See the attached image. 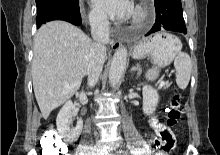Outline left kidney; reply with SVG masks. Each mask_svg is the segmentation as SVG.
Listing matches in <instances>:
<instances>
[{
    "label": "left kidney",
    "mask_w": 220,
    "mask_h": 155,
    "mask_svg": "<svg viewBox=\"0 0 220 155\" xmlns=\"http://www.w3.org/2000/svg\"><path fill=\"white\" fill-rule=\"evenodd\" d=\"M159 95L151 86L143 87V112L145 115H150L156 110Z\"/></svg>",
    "instance_id": "obj_1"
}]
</instances>
